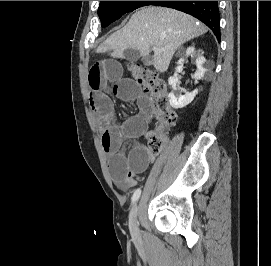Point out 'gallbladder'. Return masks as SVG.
Wrapping results in <instances>:
<instances>
[{"label":"gallbladder","instance_id":"bac80fb5","mask_svg":"<svg viewBox=\"0 0 271 266\" xmlns=\"http://www.w3.org/2000/svg\"><path fill=\"white\" fill-rule=\"evenodd\" d=\"M124 58L127 59V60H136L137 59V56H136V51L135 50H132V49H126L124 51ZM143 63L145 66H149L151 65V59L149 57H144L142 59Z\"/></svg>","mask_w":271,"mask_h":266}]
</instances>
